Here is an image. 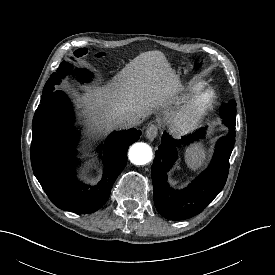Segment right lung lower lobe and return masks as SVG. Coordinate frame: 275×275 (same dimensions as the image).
Returning a JSON list of instances; mask_svg holds the SVG:
<instances>
[{
    "mask_svg": "<svg viewBox=\"0 0 275 275\" xmlns=\"http://www.w3.org/2000/svg\"><path fill=\"white\" fill-rule=\"evenodd\" d=\"M73 110L62 91H54L38 106L32 123L31 164L43 190L58 208L87 214L106 203L111 188L127 163V150L141 131L129 129L111 134L104 148L105 169L95 186L75 178V147L78 134L73 130Z\"/></svg>",
    "mask_w": 275,
    "mask_h": 275,
    "instance_id": "1",
    "label": "right lung lower lobe"
}]
</instances>
